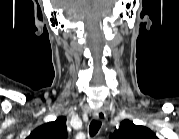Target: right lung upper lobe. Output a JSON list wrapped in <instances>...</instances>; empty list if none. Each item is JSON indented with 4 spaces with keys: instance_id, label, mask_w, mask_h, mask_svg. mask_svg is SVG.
<instances>
[{
    "instance_id": "right-lung-upper-lobe-1",
    "label": "right lung upper lobe",
    "mask_w": 179,
    "mask_h": 139,
    "mask_svg": "<svg viewBox=\"0 0 179 139\" xmlns=\"http://www.w3.org/2000/svg\"><path fill=\"white\" fill-rule=\"evenodd\" d=\"M66 136V118L62 116L36 128L28 139H65Z\"/></svg>"
}]
</instances>
